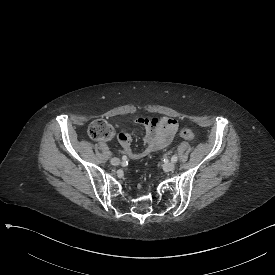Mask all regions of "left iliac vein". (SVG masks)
Returning a JSON list of instances; mask_svg holds the SVG:
<instances>
[{"instance_id":"obj_1","label":"left iliac vein","mask_w":275,"mask_h":275,"mask_svg":"<svg viewBox=\"0 0 275 275\" xmlns=\"http://www.w3.org/2000/svg\"><path fill=\"white\" fill-rule=\"evenodd\" d=\"M175 168V163L174 162H168L164 165L163 169L166 171V172H171L173 171Z\"/></svg>"}]
</instances>
